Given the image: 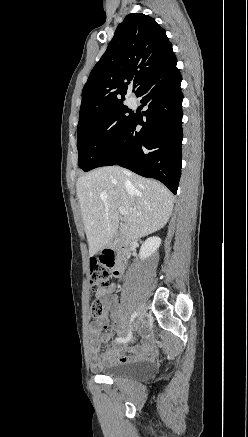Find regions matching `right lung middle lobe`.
<instances>
[{"mask_svg":"<svg viewBox=\"0 0 248 437\" xmlns=\"http://www.w3.org/2000/svg\"><path fill=\"white\" fill-rule=\"evenodd\" d=\"M133 113L123 105V101L87 118L78 127V164L84 171L103 157L116 143Z\"/></svg>","mask_w":248,"mask_h":437,"instance_id":"dd1d6c3e","label":"right lung middle lobe"}]
</instances>
